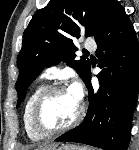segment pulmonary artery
<instances>
[{"label":"pulmonary artery","instance_id":"obj_1","mask_svg":"<svg viewBox=\"0 0 139 150\" xmlns=\"http://www.w3.org/2000/svg\"><path fill=\"white\" fill-rule=\"evenodd\" d=\"M84 47L87 50H95L96 49V43L92 39H87L84 42Z\"/></svg>","mask_w":139,"mask_h":150}]
</instances>
